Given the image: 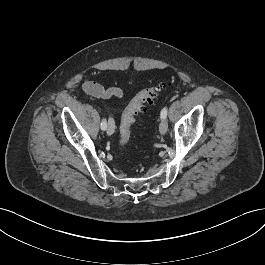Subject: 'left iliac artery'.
Here are the masks:
<instances>
[{
	"label": "left iliac artery",
	"instance_id": "1",
	"mask_svg": "<svg viewBox=\"0 0 265 265\" xmlns=\"http://www.w3.org/2000/svg\"><path fill=\"white\" fill-rule=\"evenodd\" d=\"M160 116H161V118H166L167 117V107H164L162 109Z\"/></svg>",
	"mask_w": 265,
	"mask_h": 265
}]
</instances>
